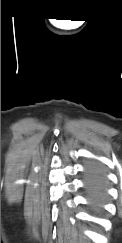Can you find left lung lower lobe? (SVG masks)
<instances>
[{
  "instance_id": "obj_1",
  "label": "left lung lower lobe",
  "mask_w": 122,
  "mask_h": 243,
  "mask_svg": "<svg viewBox=\"0 0 122 243\" xmlns=\"http://www.w3.org/2000/svg\"><path fill=\"white\" fill-rule=\"evenodd\" d=\"M85 182L88 197L96 208L105 199L106 183L103 171L98 166H88Z\"/></svg>"
}]
</instances>
